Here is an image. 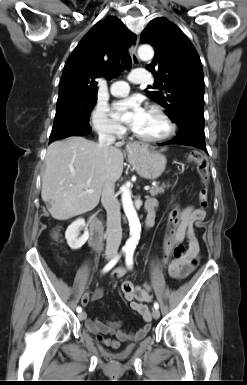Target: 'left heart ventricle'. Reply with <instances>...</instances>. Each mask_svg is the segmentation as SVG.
Returning <instances> with one entry per match:
<instances>
[{
    "label": "left heart ventricle",
    "instance_id": "left-heart-ventricle-1",
    "mask_svg": "<svg viewBox=\"0 0 247 385\" xmlns=\"http://www.w3.org/2000/svg\"><path fill=\"white\" fill-rule=\"evenodd\" d=\"M133 129L145 137H158L166 133L167 125L157 113L147 110L141 122Z\"/></svg>",
    "mask_w": 247,
    "mask_h": 385
}]
</instances>
